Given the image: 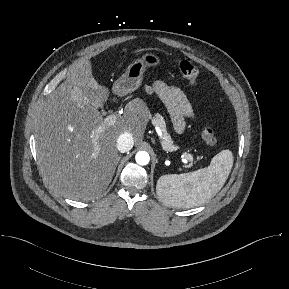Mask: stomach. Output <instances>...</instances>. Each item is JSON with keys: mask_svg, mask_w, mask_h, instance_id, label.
Listing matches in <instances>:
<instances>
[{"mask_svg": "<svg viewBox=\"0 0 289 289\" xmlns=\"http://www.w3.org/2000/svg\"><path fill=\"white\" fill-rule=\"evenodd\" d=\"M161 64L160 58L151 52L143 54L129 64L126 71L113 84V92L123 96L135 91L142 83L144 72L147 68H156Z\"/></svg>", "mask_w": 289, "mask_h": 289, "instance_id": "1", "label": "stomach"}]
</instances>
